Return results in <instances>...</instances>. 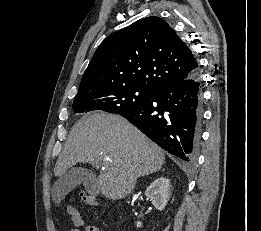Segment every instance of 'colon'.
I'll list each match as a JSON object with an SVG mask.
<instances>
[{
    "mask_svg": "<svg viewBox=\"0 0 261 231\" xmlns=\"http://www.w3.org/2000/svg\"><path fill=\"white\" fill-rule=\"evenodd\" d=\"M83 200L88 205H91V206H97L98 205L97 201L91 196H84Z\"/></svg>",
    "mask_w": 261,
    "mask_h": 231,
    "instance_id": "obj_1",
    "label": "colon"
}]
</instances>
